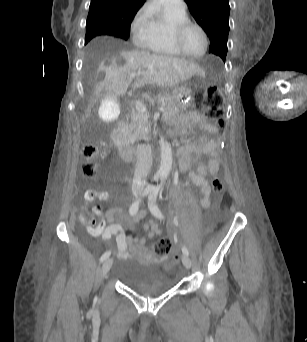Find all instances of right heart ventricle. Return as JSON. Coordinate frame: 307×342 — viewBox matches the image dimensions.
Instances as JSON below:
<instances>
[{"mask_svg": "<svg viewBox=\"0 0 307 342\" xmlns=\"http://www.w3.org/2000/svg\"><path fill=\"white\" fill-rule=\"evenodd\" d=\"M186 18H189L187 9L185 11L164 10L158 15L156 20L157 33L144 41L133 43L132 50L170 58L185 59L186 57L178 51L173 43V26Z\"/></svg>", "mask_w": 307, "mask_h": 342, "instance_id": "right-heart-ventricle-1", "label": "right heart ventricle"}]
</instances>
